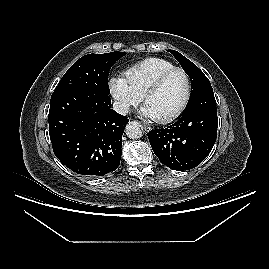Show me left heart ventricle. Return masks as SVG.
Returning <instances> with one entry per match:
<instances>
[{
    "label": "left heart ventricle",
    "mask_w": 269,
    "mask_h": 269,
    "mask_svg": "<svg viewBox=\"0 0 269 269\" xmlns=\"http://www.w3.org/2000/svg\"><path fill=\"white\" fill-rule=\"evenodd\" d=\"M187 90V82L180 71L172 73L145 101L154 118L167 116L174 112L183 102Z\"/></svg>",
    "instance_id": "obj_1"
}]
</instances>
